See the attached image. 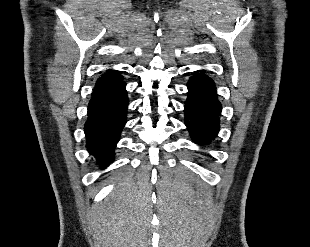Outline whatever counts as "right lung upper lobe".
Listing matches in <instances>:
<instances>
[{
	"mask_svg": "<svg viewBox=\"0 0 310 247\" xmlns=\"http://www.w3.org/2000/svg\"><path fill=\"white\" fill-rule=\"evenodd\" d=\"M123 77L117 71H108L105 75L100 77L96 82V85L111 83L116 81H122Z\"/></svg>",
	"mask_w": 310,
	"mask_h": 247,
	"instance_id": "obj_1",
	"label": "right lung upper lobe"
}]
</instances>
